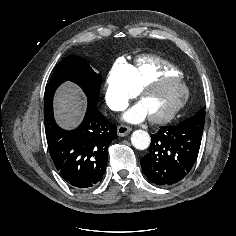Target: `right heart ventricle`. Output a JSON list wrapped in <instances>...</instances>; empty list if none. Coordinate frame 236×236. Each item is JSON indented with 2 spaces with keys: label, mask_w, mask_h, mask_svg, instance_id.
I'll return each mask as SVG.
<instances>
[{
  "label": "right heart ventricle",
  "mask_w": 236,
  "mask_h": 236,
  "mask_svg": "<svg viewBox=\"0 0 236 236\" xmlns=\"http://www.w3.org/2000/svg\"><path fill=\"white\" fill-rule=\"evenodd\" d=\"M165 75L180 77L181 71L165 59L142 55L130 65L129 83L132 89L137 91L145 83Z\"/></svg>",
  "instance_id": "obj_1"
}]
</instances>
